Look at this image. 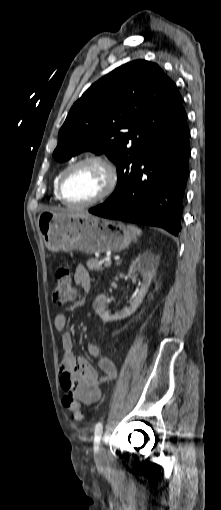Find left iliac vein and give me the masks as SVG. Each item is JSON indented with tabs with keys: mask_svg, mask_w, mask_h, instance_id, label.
I'll list each match as a JSON object with an SVG mask.
<instances>
[{
	"mask_svg": "<svg viewBox=\"0 0 221 510\" xmlns=\"http://www.w3.org/2000/svg\"><path fill=\"white\" fill-rule=\"evenodd\" d=\"M103 458H104V451L98 443V444H96V452H95V461L98 466L102 465Z\"/></svg>",
	"mask_w": 221,
	"mask_h": 510,
	"instance_id": "4c4485c4",
	"label": "left iliac vein"
}]
</instances>
